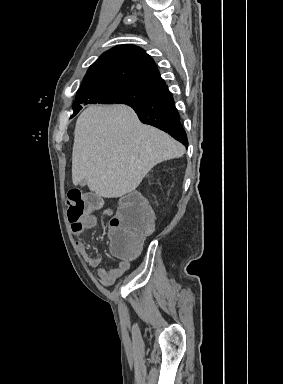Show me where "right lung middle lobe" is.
<instances>
[{"mask_svg":"<svg viewBox=\"0 0 283 384\" xmlns=\"http://www.w3.org/2000/svg\"><path fill=\"white\" fill-rule=\"evenodd\" d=\"M156 93L123 84H100L81 88L77 91L76 101L73 103V116L82 109V105L121 103L137 106L152 101Z\"/></svg>","mask_w":283,"mask_h":384,"instance_id":"obj_1","label":"right lung middle lobe"}]
</instances>
